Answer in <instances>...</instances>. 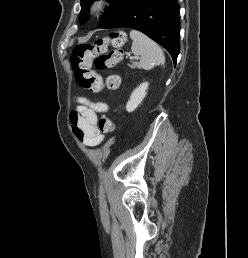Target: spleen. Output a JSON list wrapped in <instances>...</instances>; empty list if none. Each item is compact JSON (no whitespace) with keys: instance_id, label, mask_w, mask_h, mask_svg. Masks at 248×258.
Masks as SVG:
<instances>
[{"instance_id":"1","label":"spleen","mask_w":248,"mask_h":258,"mask_svg":"<svg viewBox=\"0 0 248 258\" xmlns=\"http://www.w3.org/2000/svg\"><path fill=\"white\" fill-rule=\"evenodd\" d=\"M130 37L133 40L132 53L140 56V68L149 70L156 65H164V53L156 42L137 30L130 31Z\"/></svg>"}]
</instances>
